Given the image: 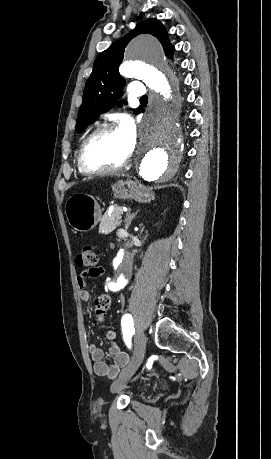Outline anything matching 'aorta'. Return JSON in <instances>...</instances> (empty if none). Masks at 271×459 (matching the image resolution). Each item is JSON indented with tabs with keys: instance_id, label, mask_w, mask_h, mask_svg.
Segmentation results:
<instances>
[{
	"instance_id": "762f6f07",
	"label": "aorta",
	"mask_w": 271,
	"mask_h": 459,
	"mask_svg": "<svg viewBox=\"0 0 271 459\" xmlns=\"http://www.w3.org/2000/svg\"><path fill=\"white\" fill-rule=\"evenodd\" d=\"M126 56L120 74L142 79L152 91L137 151L139 175L146 182L166 180L177 172L183 154L178 82L155 38L136 37L127 46ZM131 266L130 245L122 243L108 270L110 290L119 291L127 285Z\"/></svg>"
}]
</instances>
